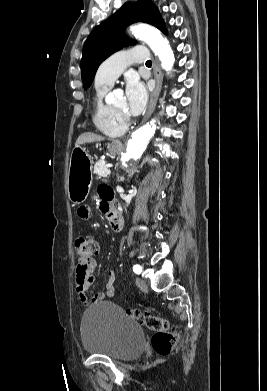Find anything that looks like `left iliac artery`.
Returning <instances> with one entry per match:
<instances>
[{
	"mask_svg": "<svg viewBox=\"0 0 267 391\" xmlns=\"http://www.w3.org/2000/svg\"><path fill=\"white\" fill-rule=\"evenodd\" d=\"M133 271L136 273V274H140L142 272V267L140 265H134L133 266Z\"/></svg>",
	"mask_w": 267,
	"mask_h": 391,
	"instance_id": "left-iliac-artery-1",
	"label": "left iliac artery"
}]
</instances>
